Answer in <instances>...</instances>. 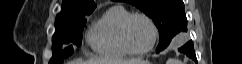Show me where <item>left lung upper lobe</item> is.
<instances>
[{"instance_id":"1","label":"left lung upper lobe","mask_w":242,"mask_h":64,"mask_svg":"<svg viewBox=\"0 0 242 64\" xmlns=\"http://www.w3.org/2000/svg\"><path fill=\"white\" fill-rule=\"evenodd\" d=\"M130 3L147 16L158 27L160 41L156 50H164L174 35L187 31V18L182 0H119Z\"/></svg>"}]
</instances>
